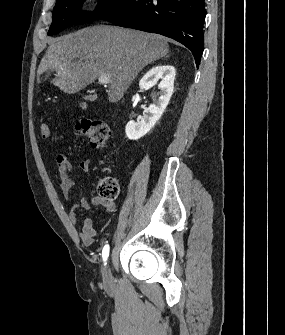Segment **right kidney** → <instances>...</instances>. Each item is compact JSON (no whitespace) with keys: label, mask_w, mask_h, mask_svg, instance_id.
Wrapping results in <instances>:
<instances>
[{"label":"right kidney","mask_w":285,"mask_h":335,"mask_svg":"<svg viewBox=\"0 0 285 335\" xmlns=\"http://www.w3.org/2000/svg\"><path fill=\"white\" fill-rule=\"evenodd\" d=\"M176 72L173 66H155L152 70H149L139 82L140 90L148 88L152 84H156L158 80H161L158 88L159 98L155 100L154 104H151L149 108H145L144 116L139 118L138 122L130 120L126 124L125 134L129 140H139L142 136H145L147 132H150L151 128L155 126L156 122L160 120L172 94L173 84L175 80Z\"/></svg>","instance_id":"obj_1"}]
</instances>
